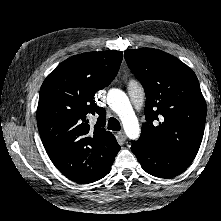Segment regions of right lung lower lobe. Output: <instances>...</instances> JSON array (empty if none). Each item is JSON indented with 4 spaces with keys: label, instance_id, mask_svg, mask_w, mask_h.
<instances>
[{
    "label": "right lung lower lobe",
    "instance_id": "right-lung-lower-lobe-1",
    "mask_svg": "<svg viewBox=\"0 0 221 221\" xmlns=\"http://www.w3.org/2000/svg\"><path fill=\"white\" fill-rule=\"evenodd\" d=\"M110 167H111V166H110ZM109 171H110V168H109L103 175H101L98 179L93 180V181H90V182H87V183H91V182H94V181H97V180L103 178L104 176H106V175L109 173Z\"/></svg>",
    "mask_w": 221,
    "mask_h": 221
}]
</instances>
